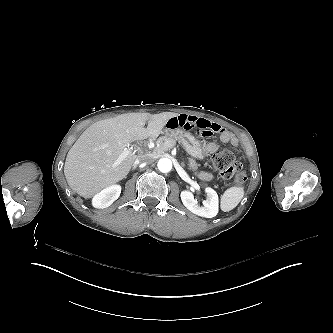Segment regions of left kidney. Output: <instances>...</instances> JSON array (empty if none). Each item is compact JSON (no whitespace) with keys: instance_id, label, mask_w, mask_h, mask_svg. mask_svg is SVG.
<instances>
[{"instance_id":"obj_1","label":"left kidney","mask_w":333,"mask_h":333,"mask_svg":"<svg viewBox=\"0 0 333 333\" xmlns=\"http://www.w3.org/2000/svg\"><path fill=\"white\" fill-rule=\"evenodd\" d=\"M207 199L203 201V206H199L194 195L190 191H182L180 196L183 205L192 213L206 218L215 217L218 214V194L210 187L205 188Z\"/></svg>"}]
</instances>
